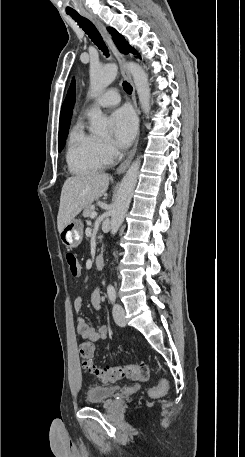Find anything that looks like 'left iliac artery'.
Segmentation results:
<instances>
[{
	"mask_svg": "<svg viewBox=\"0 0 245 457\" xmlns=\"http://www.w3.org/2000/svg\"><path fill=\"white\" fill-rule=\"evenodd\" d=\"M107 293H108V297H109V300L111 302H115L116 300V290H115V287L112 286V285H109L107 287Z\"/></svg>",
	"mask_w": 245,
	"mask_h": 457,
	"instance_id": "44dca946",
	"label": "left iliac artery"
}]
</instances>
